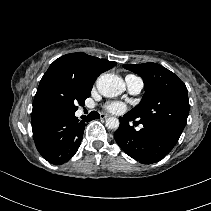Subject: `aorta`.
Returning a JSON list of instances; mask_svg holds the SVG:
<instances>
[{"instance_id":"obj_1","label":"aorta","mask_w":211,"mask_h":211,"mask_svg":"<svg viewBox=\"0 0 211 211\" xmlns=\"http://www.w3.org/2000/svg\"><path fill=\"white\" fill-rule=\"evenodd\" d=\"M97 89L104 97H116L125 90V83L122 78L113 74H102L96 82ZM106 127L117 129L119 120L116 117H110L106 120Z\"/></svg>"}]
</instances>
